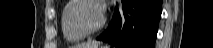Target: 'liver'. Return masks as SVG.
Instances as JSON below:
<instances>
[{"instance_id": "obj_1", "label": "liver", "mask_w": 213, "mask_h": 48, "mask_svg": "<svg viewBox=\"0 0 213 48\" xmlns=\"http://www.w3.org/2000/svg\"><path fill=\"white\" fill-rule=\"evenodd\" d=\"M98 47V42H87V43H82L80 45H77L74 48H97Z\"/></svg>"}]
</instances>
